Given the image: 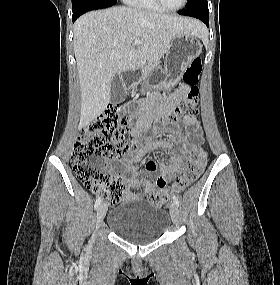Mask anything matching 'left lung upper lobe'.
Segmentation results:
<instances>
[{"mask_svg":"<svg viewBox=\"0 0 280 285\" xmlns=\"http://www.w3.org/2000/svg\"><path fill=\"white\" fill-rule=\"evenodd\" d=\"M208 6L207 0H188L185 9Z\"/></svg>","mask_w":280,"mask_h":285,"instance_id":"1","label":"left lung upper lobe"}]
</instances>
